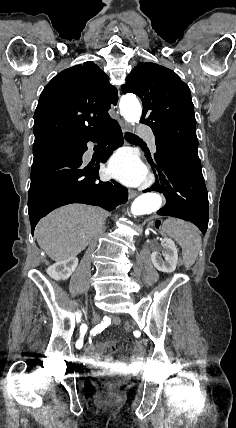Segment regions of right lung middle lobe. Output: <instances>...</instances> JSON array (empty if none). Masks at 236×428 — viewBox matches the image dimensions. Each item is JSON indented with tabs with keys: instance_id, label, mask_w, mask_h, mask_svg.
<instances>
[{
	"instance_id": "dd1d6c3e",
	"label": "right lung middle lobe",
	"mask_w": 236,
	"mask_h": 428,
	"mask_svg": "<svg viewBox=\"0 0 236 428\" xmlns=\"http://www.w3.org/2000/svg\"><path fill=\"white\" fill-rule=\"evenodd\" d=\"M68 145L63 140H51L47 142H42L39 144H34L33 146V154H34V160L46 156L48 154L54 153L58 150H61L63 152H66L65 148H67Z\"/></svg>"
}]
</instances>
